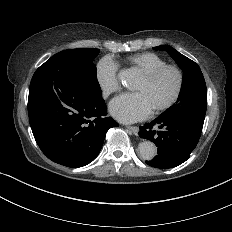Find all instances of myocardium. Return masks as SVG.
<instances>
[{
  "mask_svg": "<svg viewBox=\"0 0 232 232\" xmlns=\"http://www.w3.org/2000/svg\"><path fill=\"white\" fill-rule=\"evenodd\" d=\"M171 69L173 70L178 78V83H177V87L176 90L174 92V94L172 95V97L170 98L169 101H167L164 105L160 106L159 108L156 109L157 113H162L168 109H170L178 100V98L180 97V94L182 92L183 89V84H184V76L183 73L181 71V69L179 67H177L176 65L173 64H164L161 65L153 70H151L148 73H145L143 75V79L150 83L152 81H154L162 72Z\"/></svg>",
  "mask_w": 232,
  "mask_h": 232,
  "instance_id": "obj_1",
  "label": "myocardium"
}]
</instances>
